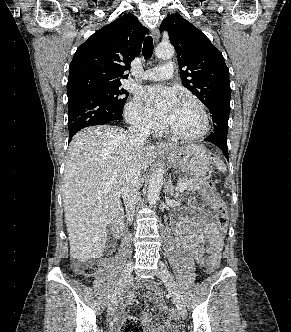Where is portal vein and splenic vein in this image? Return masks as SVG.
Returning <instances> with one entry per match:
<instances>
[{
  "instance_id": "1",
  "label": "portal vein and splenic vein",
  "mask_w": 291,
  "mask_h": 332,
  "mask_svg": "<svg viewBox=\"0 0 291 332\" xmlns=\"http://www.w3.org/2000/svg\"><path fill=\"white\" fill-rule=\"evenodd\" d=\"M185 189H186V183L184 182V183L180 184L179 191L183 192Z\"/></svg>"
}]
</instances>
